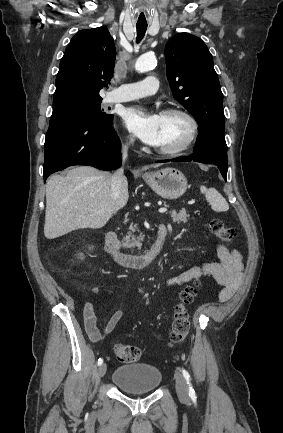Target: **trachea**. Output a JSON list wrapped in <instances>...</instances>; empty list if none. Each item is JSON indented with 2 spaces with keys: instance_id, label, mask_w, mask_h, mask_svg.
Returning a JSON list of instances; mask_svg holds the SVG:
<instances>
[{
  "instance_id": "3493384b",
  "label": "trachea",
  "mask_w": 283,
  "mask_h": 433,
  "mask_svg": "<svg viewBox=\"0 0 283 433\" xmlns=\"http://www.w3.org/2000/svg\"><path fill=\"white\" fill-rule=\"evenodd\" d=\"M136 29H137L136 42L140 43L146 33L147 25H136Z\"/></svg>"
}]
</instances>
